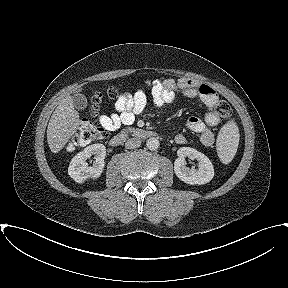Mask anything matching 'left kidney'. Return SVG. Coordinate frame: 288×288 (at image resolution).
Masks as SVG:
<instances>
[{
  "instance_id": "1",
  "label": "left kidney",
  "mask_w": 288,
  "mask_h": 288,
  "mask_svg": "<svg viewBox=\"0 0 288 288\" xmlns=\"http://www.w3.org/2000/svg\"><path fill=\"white\" fill-rule=\"evenodd\" d=\"M178 158L174 162L176 176L190 185H202L210 182L214 177V168L209 158L203 153L190 148L181 147L177 151ZM198 161V168L186 166L185 157Z\"/></svg>"
}]
</instances>
